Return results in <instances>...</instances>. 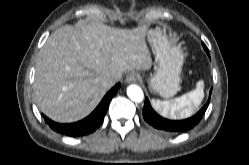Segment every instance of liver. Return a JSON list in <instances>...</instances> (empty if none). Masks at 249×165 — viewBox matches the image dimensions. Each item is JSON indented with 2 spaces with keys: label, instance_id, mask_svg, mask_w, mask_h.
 Returning <instances> with one entry per match:
<instances>
[{
  "label": "liver",
  "instance_id": "1",
  "mask_svg": "<svg viewBox=\"0 0 249 165\" xmlns=\"http://www.w3.org/2000/svg\"><path fill=\"white\" fill-rule=\"evenodd\" d=\"M146 26L132 30L100 22L65 25L50 35L35 66L34 96L50 119L70 123L83 119L109 88L103 79L131 70H149L151 53Z\"/></svg>",
  "mask_w": 249,
  "mask_h": 165
}]
</instances>
